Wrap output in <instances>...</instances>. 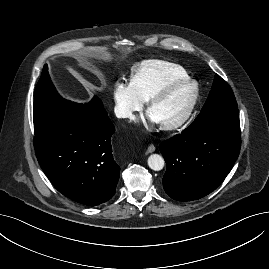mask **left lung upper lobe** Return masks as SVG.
<instances>
[{
    "instance_id": "5c2ea615",
    "label": "left lung upper lobe",
    "mask_w": 269,
    "mask_h": 269,
    "mask_svg": "<svg viewBox=\"0 0 269 269\" xmlns=\"http://www.w3.org/2000/svg\"><path fill=\"white\" fill-rule=\"evenodd\" d=\"M237 108L232 89L219 75H215L210 94L199 115L213 114Z\"/></svg>"
}]
</instances>
